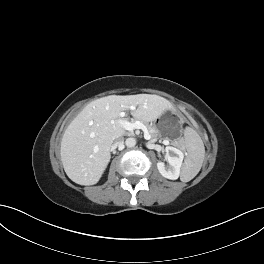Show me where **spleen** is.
<instances>
[{
    "instance_id": "obj_1",
    "label": "spleen",
    "mask_w": 264,
    "mask_h": 264,
    "mask_svg": "<svg viewBox=\"0 0 264 264\" xmlns=\"http://www.w3.org/2000/svg\"><path fill=\"white\" fill-rule=\"evenodd\" d=\"M184 145L188 155L182 166L181 180L188 182L199 173L202 167L205 147L201 137L191 127H186L184 130Z\"/></svg>"
}]
</instances>
